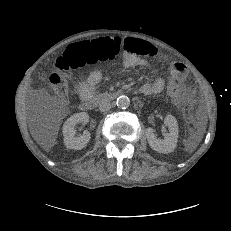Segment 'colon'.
Returning <instances> with one entry per match:
<instances>
[{"label": "colon", "instance_id": "5ec220e1", "mask_svg": "<svg viewBox=\"0 0 231 231\" xmlns=\"http://www.w3.org/2000/svg\"><path fill=\"white\" fill-rule=\"evenodd\" d=\"M122 40L118 37L102 38L87 45H74L70 47L63 57L54 63L55 72L49 76V83L54 93L65 98L68 93L70 71L86 63L87 60H112L120 55ZM167 91L175 96L178 86L174 80L168 82Z\"/></svg>", "mask_w": 231, "mask_h": 231}]
</instances>
